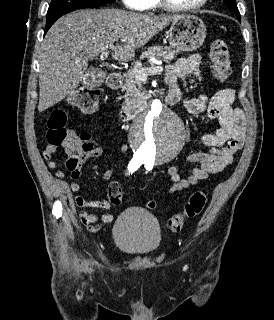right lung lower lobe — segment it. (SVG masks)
Returning <instances> with one entry per match:
<instances>
[{"label": "right lung lower lobe", "mask_w": 274, "mask_h": 320, "mask_svg": "<svg viewBox=\"0 0 274 320\" xmlns=\"http://www.w3.org/2000/svg\"><path fill=\"white\" fill-rule=\"evenodd\" d=\"M99 6L97 7H92V8H98ZM76 10V9H75ZM74 10H69V11H65V12H61V13H58V14H54L50 17H47V20H46V27H45V32H44V35L46 34V32L49 30V28L53 25V23L58 19L60 18L61 16L69 13V12H72Z\"/></svg>", "instance_id": "1"}]
</instances>
